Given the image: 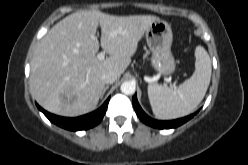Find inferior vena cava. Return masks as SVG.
<instances>
[{"mask_svg":"<svg viewBox=\"0 0 248 165\" xmlns=\"http://www.w3.org/2000/svg\"><path fill=\"white\" fill-rule=\"evenodd\" d=\"M117 78L118 74L114 71H109L102 75V79L105 84H112L117 80Z\"/></svg>","mask_w":248,"mask_h":165,"instance_id":"1","label":"inferior vena cava"}]
</instances>
